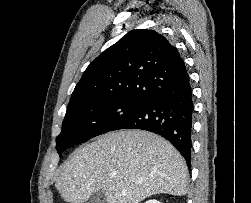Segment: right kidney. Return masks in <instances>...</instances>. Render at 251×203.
<instances>
[{"instance_id":"1","label":"right kidney","mask_w":251,"mask_h":203,"mask_svg":"<svg viewBox=\"0 0 251 203\" xmlns=\"http://www.w3.org/2000/svg\"><path fill=\"white\" fill-rule=\"evenodd\" d=\"M144 203H161V202H159L158 200L153 199V200H148V201H146Z\"/></svg>"}]
</instances>
